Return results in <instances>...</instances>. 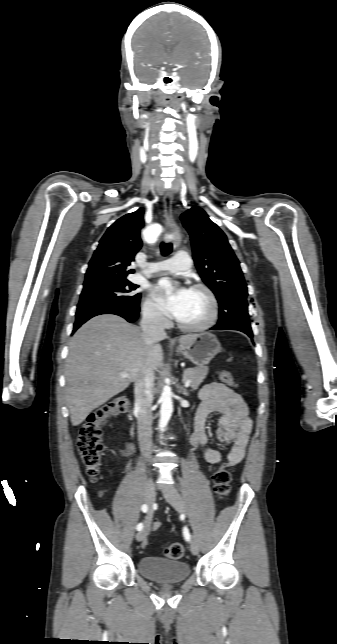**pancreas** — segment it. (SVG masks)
<instances>
[{
    "mask_svg": "<svg viewBox=\"0 0 337 644\" xmlns=\"http://www.w3.org/2000/svg\"><path fill=\"white\" fill-rule=\"evenodd\" d=\"M208 367L188 368L184 371V378L191 381L192 390H196L208 374Z\"/></svg>",
    "mask_w": 337,
    "mask_h": 644,
    "instance_id": "pancreas-1",
    "label": "pancreas"
}]
</instances>
